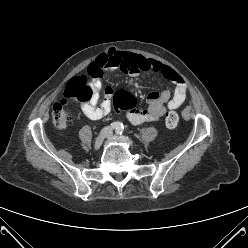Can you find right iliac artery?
<instances>
[{
	"label": "right iliac artery",
	"mask_w": 248,
	"mask_h": 248,
	"mask_svg": "<svg viewBox=\"0 0 248 248\" xmlns=\"http://www.w3.org/2000/svg\"><path fill=\"white\" fill-rule=\"evenodd\" d=\"M122 126V123L120 122H113L111 123V128L118 130Z\"/></svg>",
	"instance_id": "obj_1"
}]
</instances>
